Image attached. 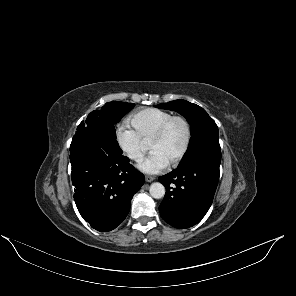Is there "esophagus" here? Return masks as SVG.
<instances>
[{
  "mask_svg": "<svg viewBox=\"0 0 296 296\" xmlns=\"http://www.w3.org/2000/svg\"><path fill=\"white\" fill-rule=\"evenodd\" d=\"M153 180H155V177L149 176V175L145 176V181L146 182H152Z\"/></svg>",
  "mask_w": 296,
  "mask_h": 296,
  "instance_id": "esophagus-1",
  "label": "esophagus"
}]
</instances>
